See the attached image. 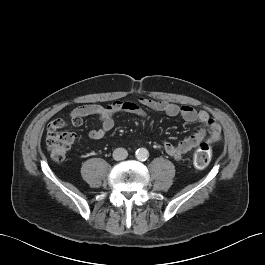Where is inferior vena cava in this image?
<instances>
[{"instance_id": "inferior-vena-cava-1", "label": "inferior vena cava", "mask_w": 265, "mask_h": 265, "mask_svg": "<svg viewBox=\"0 0 265 265\" xmlns=\"http://www.w3.org/2000/svg\"><path fill=\"white\" fill-rule=\"evenodd\" d=\"M127 156H128V152L124 148H116L113 151V158L116 161L124 160L127 158Z\"/></svg>"}]
</instances>
